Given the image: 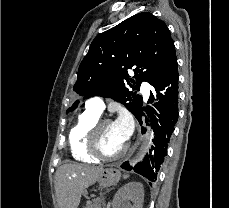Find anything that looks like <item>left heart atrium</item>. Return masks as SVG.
<instances>
[{"label": "left heart atrium", "instance_id": "39dd6f15", "mask_svg": "<svg viewBox=\"0 0 229 208\" xmlns=\"http://www.w3.org/2000/svg\"><path fill=\"white\" fill-rule=\"evenodd\" d=\"M114 125L123 139H129L132 134V120L127 112L122 111L114 122Z\"/></svg>", "mask_w": 229, "mask_h": 208}]
</instances>
